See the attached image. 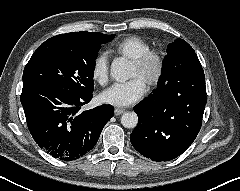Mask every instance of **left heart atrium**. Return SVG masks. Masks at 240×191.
Returning a JSON list of instances; mask_svg holds the SVG:
<instances>
[{"mask_svg":"<svg viewBox=\"0 0 240 191\" xmlns=\"http://www.w3.org/2000/svg\"><path fill=\"white\" fill-rule=\"evenodd\" d=\"M145 91L144 82L137 77H133L127 82L115 83L103 91L101 100L113 106L125 107L140 100Z\"/></svg>","mask_w":240,"mask_h":191,"instance_id":"1","label":"left heart atrium"}]
</instances>
